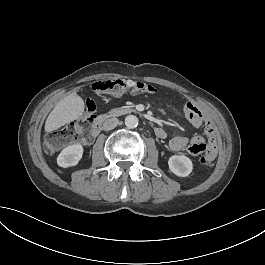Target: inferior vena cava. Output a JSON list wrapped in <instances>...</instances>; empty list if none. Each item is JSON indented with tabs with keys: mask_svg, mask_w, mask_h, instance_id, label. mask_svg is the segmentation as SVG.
Segmentation results:
<instances>
[{
	"mask_svg": "<svg viewBox=\"0 0 265 265\" xmlns=\"http://www.w3.org/2000/svg\"><path fill=\"white\" fill-rule=\"evenodd\" d=\"M119 123V120L117 118H109L106 119L103 123V129L105 131H109L114 129Z\"/></svg>",
	"mask_w": 265,
	"mask_h": 265,
	"instance_id": "obj_1",
	"label": "inferior vena cava"
}]
</instances>
